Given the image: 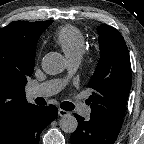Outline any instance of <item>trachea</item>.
Instances as JSON below:
<instances>
[{"mask_svg": "<svg viewBox=\"0 0 144 144\" xmlns=\"http://www.w3.org/2000/svg\"><path fill=\"white\" fill-rule=\"evenodd\" d=\"M60 107L67 111H71L75 108L74 104H72L71 102H67V101L62 102Z\"/></svg>", "mask_w": 144, "mask_h": 144, "instance_id": "obj_1", "label": "trachea"}]
</instances>
